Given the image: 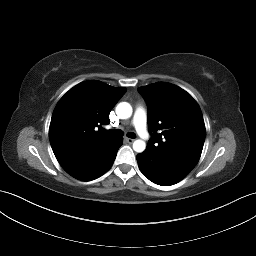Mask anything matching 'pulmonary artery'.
I'll list each match as a JSON object with an SVG mask.
<instances>
[{"instance_id": "e3ab8cb5", "label": "pulmonary artery", "mask_w": 256, "mask_h": 256, "mask_svg": "<svg viewBox=\"0 0 256 256\" xmlns=\"http://www.w3.org/2000/svg\"><path fill=\"white\" fill-rule=\"evenodd\" d=\"M146 122H147V114L145 109L142 107H137L133 115L132 124L135 127L138 134L143 139L147 140L150 138V135L147 131Z\"/></svg>"}]
</instances>
